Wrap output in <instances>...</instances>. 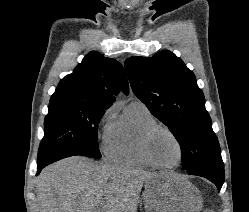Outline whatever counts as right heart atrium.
Masks as SVG:
<instances>
[{
	"label": "right heart atrium",
	"instance_id": "right-heart-atrium-1",
	"mask_svg": "<svg viewBox=\"0 0 249 212\" xmlns=\"http://www.w3.org/2000/svg\"><path fill=\"white\" fill-rule=\"evenodd\" d=\"M114 112H115V105H111L103 111V113L101 114V116L98 120L97 130H98V133L101 134V137H102L104 144L106 143V140H107V129L103 133H101V130L104 126H106L108 124V122L112 118Z\"/></svg>",
	"mask_w": 249,
	"mask_h": 212
}]
</instances>
